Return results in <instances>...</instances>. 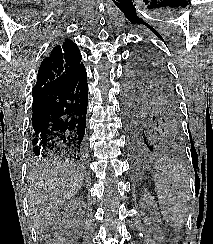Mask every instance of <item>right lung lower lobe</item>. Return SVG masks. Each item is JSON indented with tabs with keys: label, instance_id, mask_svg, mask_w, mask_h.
Here are the masks:
<instances>
[{
	"label": "right lung lower lobe",
	"instance_id": "1",
	"mask_svg": "<svg viewBox=\"0 0 213 244\" xmlns=\"http://www.w3.org/2000/svg\"><path fill=\"white\" fill-rule=\"evenodd\" d=\"M31 152L34 157H69L86 153L88 84L85 68L69 83L32 92Z\"/></svg>",
	"mask_w": 213,
	"mask_h": 244
}]
</instances>
